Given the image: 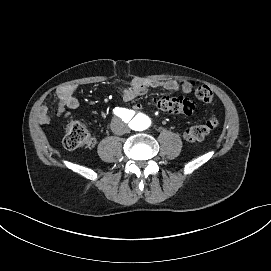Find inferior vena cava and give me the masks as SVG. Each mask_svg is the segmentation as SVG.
Segmentation results:
<instances>
[{"label":"inferior vena cava","mask_w":271,"mask_h":271,"mask_svg":"<svg viewBox=\"0 0 271 271\" xmlns=\"http://www.w3.org/2000/svg\"><path fill=\"white\" fill-rule=\"evenodd\" d=\"M111 128H112L113 133L118 134L115 125H111Z\"/></svg>","instance_id":"obj_1"}]
</instances>
